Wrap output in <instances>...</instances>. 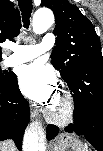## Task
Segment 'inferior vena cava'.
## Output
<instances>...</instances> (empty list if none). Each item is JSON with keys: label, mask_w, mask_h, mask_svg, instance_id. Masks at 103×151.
<instances>
[{"label": "inferior vena cava", "mask_w": 103, "mask_h": 151, "mask_svg": "<svg viewBox=\"0 0 103 151\" xmlns=\"http://www.w3.org/2000/svg\"><path fill=\"white\" fill-rule=\"evenodd\" d=\"M9 144H14V143L11 140H8V141L3 143V146L7 147Z\"/></svg>", "instance_id": "1"}]
</instances>
